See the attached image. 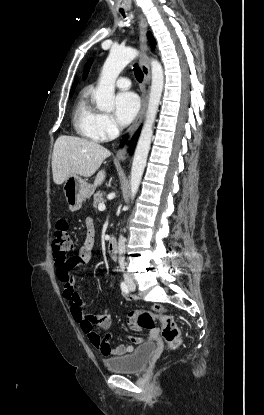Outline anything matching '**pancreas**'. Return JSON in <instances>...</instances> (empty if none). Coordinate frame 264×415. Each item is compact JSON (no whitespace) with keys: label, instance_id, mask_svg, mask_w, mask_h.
<instances>
[{"label":"pancreas","instance_id":"1","mask_svg":"<svg viewBox=\"0 0 264 415\" xmlns=\"http://www.w3.org/2000/svg\"><path fill=\"white\" fill-rule=\"evenodd\" d=\"M100 203H104V198L102 192L98 191L94 194L93 197V206L97 208Z\"/></svg>","mask_w":264,"mask_h":415}]
</instances>
